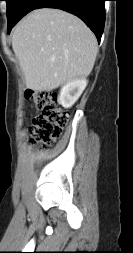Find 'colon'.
Here are the masks:
<instances>
[{
    "instance_id": "1",
    "label": "colon",
    "mask_w": 133,
    "mask_h": 253,
    "mask_svg": "<svg viewBox=\"0 0 133 253\" xmlns=\"http://www.w3.org/2000/svg\"><path fill=\"white\" fill-rule=\"evenodd\" d=\"M25 95L39 111L30 126L31 140L46 148L61 136L68 123V114L59 104L55 92L28 90Z\"/></svg>"
}]
</instances>
